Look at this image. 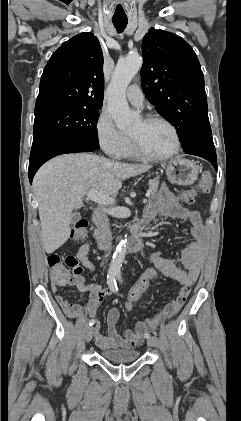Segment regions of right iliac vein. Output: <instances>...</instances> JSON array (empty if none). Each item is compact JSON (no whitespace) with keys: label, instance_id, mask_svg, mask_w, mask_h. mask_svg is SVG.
Instances as JSON below:
<instances>
[{"label":"right iliac vein","instance_id":"obj_1","mask_svg":"<svg viewBox=\"0 0 241 421\" xmlns=\"http://www.w3.org/2000/svg\"><path fill=\"white\" fill-rule=\"evenodd\" d=\"M93 333H94V328L93 327H87L86 328L85 335H84V338H85V341L86 342H90L91 341V339L93 337Z\"/></svg>","mask_w":241,"mask_h":421}]
</instances>
